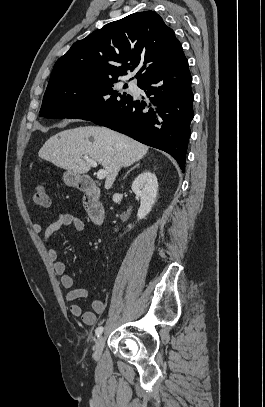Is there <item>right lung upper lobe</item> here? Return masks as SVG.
Wrapping results in <instances>:
<instances>
[{"label":"right lung upper lobe","mask_w":265,"mask_h":407,"mask_svg":"<svg viewBox=\"0 0 265 407\" xmlns=\"http://www.w3.org/2000/svg\"><path fill=\"white\" fill-rule=\"evenodd\" d=\"M182 54L174 31L159 14L138 12L75 42L55 63L49 83L117 80L127 70L140 67L136 74L139 83Z\"/></svg>","instance_id":"obj_1"}]
</instances>
